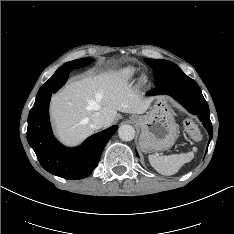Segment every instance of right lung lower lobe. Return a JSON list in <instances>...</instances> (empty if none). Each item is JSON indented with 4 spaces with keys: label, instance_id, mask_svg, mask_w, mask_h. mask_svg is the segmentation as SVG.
Returning a JSON list of instances; mask_svg holds the SVG:
<instances>
[{
    "label": "right lung lower lobe",
    "instance_id": "right-lung-lower-lobe-1",
    "mask_svg": "<svg viewBox=\"0 0 234 234\" xmlns=\"http://www.w3.org/2000/svg\"><path fill=\"white\" fill-rule=\"evenodd\" d=\"M70 70L58 69L39 89L29 112L27 140L42 167L65 179H82L98 165L104 146L118 126H112L89 137L81 146L66 148L53 136L49 121V102L52 93L68 79Z\"/></svg>",
    "mask_w": 234,
    "mask_h": 234
}]
</instances>
